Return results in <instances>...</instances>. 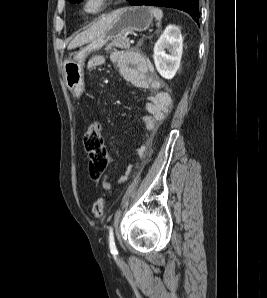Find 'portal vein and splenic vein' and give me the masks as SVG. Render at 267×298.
<instances>
[{"label": "portal vein and splenic vein", "mask_w": 267, "mask_h": 298, "mask_svg": "<svg viewBox=\"0 0 267 298\" xmlns=\"http://www.w3.org/2000/svg\"><path fill=\"white\" fill-rule=\"evenodd\" d=\"M130 43H134V40H131Z\"/></svg>", "instance_id": "18ae733b"}]
</instances>
